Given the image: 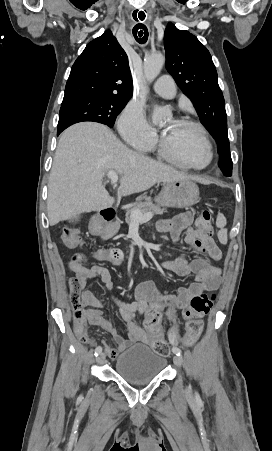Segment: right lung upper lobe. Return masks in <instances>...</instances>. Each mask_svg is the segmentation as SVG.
<instances>
[{"label": "right lung upper lobe", "mask_w": 272, "mask_h": 451, "mask_svg": "<svg viewBox=\"0 0 272 451\" xmlns=\"http://www.w3.org/2000/svg\"><path fill=\"white\" fill-rule=\"evenodd\" d=\"M132 93L128 57L113 34L106 31L76 59L63 101L80 97L130 99Z\"/></svg>", "instance_id": "1"}]
</instances>
